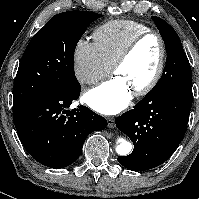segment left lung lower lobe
Masks as SVG:
<instances>
[{
	"label": "left lung lower lobe",
	"instance_id": "left-lung-lower-lobe-1",
	"mask_svg": "<svg viewBox=\"0 0 199 199\" xmlns=\"http://www.w3.org/2000/svg\"><path fill=\"white\" fill-rule=\"evenodd\" d=\"M192 89H175L160 96H145L134 109L116 119L117 128L133 142L130 155L119 156L132 171L164 163L182 141L192 106Z\"/></svg>",
	"mask_w": 199,
	"mask_h": 199
}]
</instances>
